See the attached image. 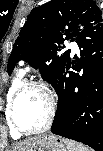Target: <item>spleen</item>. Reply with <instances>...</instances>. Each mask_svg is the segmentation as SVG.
<instances>
[{
    "mask_svg": "<svg viewBox=\"0 0 103 151\" xmlns=\"http://www.w3.org/2000/svg\"><path fill=\"white\" fill-rule=\"evenodd\" d=\"M68 151H89L86 146L81 143L69 139H63Z\"/></svg>",
    "mask_w": 103,
    "mask_h": 151,
    "instance_id": "3e777b00",
    "label": "spleen"
}]
</instances>
